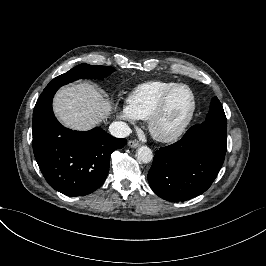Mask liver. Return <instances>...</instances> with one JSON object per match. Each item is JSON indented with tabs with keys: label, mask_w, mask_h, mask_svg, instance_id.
<instances>
[{
	"label": "liver",
	"mask_w": 266,
	"mask_h": 266,
	"mask_svg": "<svg viewBox=\"0 0 266 266\" xmlns=\"http://www.w3.org/2000/svg\"><path fill=\"white\" fill-rule=\"evenodd\" d=\"M54 109L60 121L74 130L92 128L109 112L101 94L88 83L62 88L55 98Z\"/></svg>",
	"instance_id": "liver-1"
}]
</instances>
